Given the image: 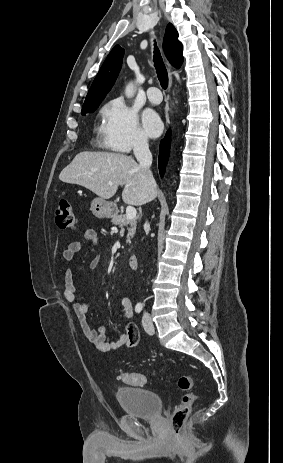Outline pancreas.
<instances>
[{"instance_id":"pancreas-1","label":"pancreas","mask_w":283,"mask_h":463,"mask_svg":"<svg viewBox=\"0 0 283 463\" xmlns=\"http://www.w3.org/2000/svg\"><path fill=\"white\" fill-rule=\"evenodd\" d=\"M112 223L114 225H118L120 227L122 226H128L127 227V230H128V235H127V240L126 242L127 243H130L131 242V239L133 238L135 232H136V224H137V220L136 218L134 219H128L126 215H123V214H115L113 215V218H112Z\"/></svg>"}]
</instances>
